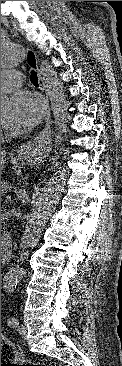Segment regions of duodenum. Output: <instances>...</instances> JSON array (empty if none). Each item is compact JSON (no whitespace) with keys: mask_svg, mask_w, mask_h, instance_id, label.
Instances as JSON below:
<instances>
[{"mask_svg":"<svg viewBox=\"0 0 122 366\" xmlns=\"http://www.w3.org/2000/svg\"><path fill=\"white\" fill-rule=\"evenodd\" d=\"M11 249H12V238H11V236L9 234L1 235V253L10 252ZM17 277H18V275H17Z\"/></svg>","mask_w":122,"mask_h":366,"instance_id":"410a0bca","label":"duodenum"}]
</instances>
